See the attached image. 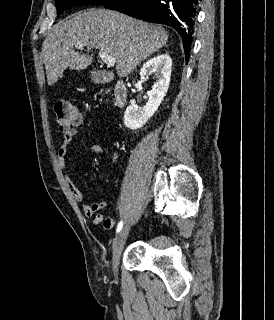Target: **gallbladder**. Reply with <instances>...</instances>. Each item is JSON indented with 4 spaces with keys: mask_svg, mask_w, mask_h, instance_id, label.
Masks as SVG:
<instances>
[{
    "mask_svg": "<svg viewBox=\"0 0 274 320\" xmlns=\"http://www.w3.org/2000/svg\"><path fill=\"white\" fill-rule=\"evenodd\" d=\"M90 74L92 76L91 80H94L99 85L108 82L109 79H115V72H103L102 68H91Z\"/></svg>",
    "mask_w": 274,
    "mask_h": 320,
    "instance_id": "1",
    "label": "gallbladder"
}]
</instances>
